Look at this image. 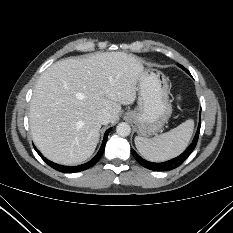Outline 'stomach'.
<instances>
[{
    "label": "stomach",
    "mask_w": 233,
    "mask_h": 233,
    "mask_svg": "<svg viewBox=\"0 0 233 233\" xmlns=\"http://www.w3.org/2000/svg\"><path fill=\"white\" fill-rule=\"evenodd\" d=\"M137 83L138 107L128 111L126 116L141 137H150L161 131L172 114L168 80L160 70L148 66Z\"/></svg>",
    "instance_id": "1"
}]
</instances>
